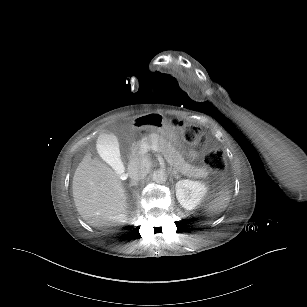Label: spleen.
Wrapping results in <instances>:
<instances>
[{
	"label": "spleen",
	"instance_id": "1",
	"mask_svg": "<svg viewBox=\"0 0 307 307\" xmlns=\"http://www.w3.org/2000/svg\"><path fill=\"white\" fill-rule=\"evenodd\" d=\"M233 199V191L230 188H223L215 197L214 201L206 206V214L209 217L218 216L225 206Z\"/></svg>",
	"mask_w": 307,
	"mask_h": 307
}]
</instances>
